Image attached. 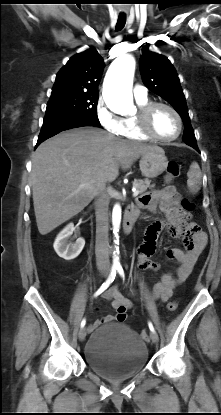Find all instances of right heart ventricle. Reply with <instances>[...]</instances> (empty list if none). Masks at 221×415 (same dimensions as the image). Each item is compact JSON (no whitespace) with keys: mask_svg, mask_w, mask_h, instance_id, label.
<instances>
[{"mask_svg":"<svg viewBox=\"0 0 221 415\" xmlns=\"http://www.w3.org/2000/svg\"><path fill=\"white\" fill-rule=\"evenodd\" d=\"M136 102L139 107L147 104L149 102L148 98L136 99ZM122 136L128 139L134 140H147L146 137L138 128L136 116H130L123 119V130L121 133Z\"/></svg>","mask_w":221,"mask_h":415,"instance_id":"1","label":"right heart ventricle"}]
</instances>
